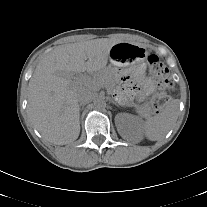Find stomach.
Segmentation results:
<instances>
[{
    "mask_svg": "<svg viewBox=\"0 0 207 207\" xmlns=\"http://www.w3.org/2000/svg\"><path fill=\"white\" fill-rule=\"evenodd\" d=\"M147 57V51L136 44H115L109 53V59L115 67H125L132 64H141Z\"/></svg>",
    "mask_w": 207,
    "mask_h": 207,
    "instance_id": "0dacf381",
    "label": "stomach"
}]
</instances>
